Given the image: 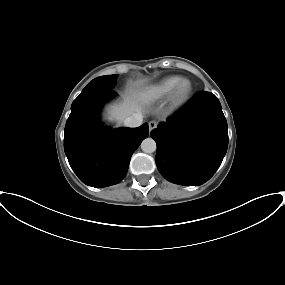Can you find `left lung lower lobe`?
I'll return each instance as SVG.
<instances>
[{"instance_id": "1", "label": "left lung lower lobe", "mask_w": 285, "mask_h": 285, "mask_svg": "<svg viewBox=\"0 0 285 285\" xmlns=\"http://www.w3.org/2000/svg\"><path fill=\"white\" fill-rule=\"evenodd\" d=\"M155 162L168 181L198 186L219 168L228 147V126L218 98L200 92L151 132Z\"/></svg>"}]
</instances>
